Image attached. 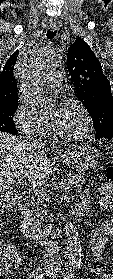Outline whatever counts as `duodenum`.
<instances>
[{"mask_svg": "<svg viewBox=\"0 0 113 279\" xmlns=\"http://www.w3.org/2000/svg\"><path fill=\"white\" fill-rule=\"evenodd\" d=\"M86 204L79 203L74 209V216L80 217L86 212ZM21 230L24 236L32 241L38 240L41 235L56 238L60 235L61 229L54 226L39 227L32 222L30 209L26 206L20 209Z\"/></svg>", "mask_w": 113, "mask_h": 279, "instance_id": "410a0bca", "label": "duodenum"}]
</instances>
